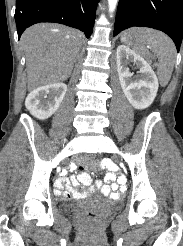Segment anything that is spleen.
I'll list each match as a JSON object with an SVG mask.
<instances>
[{
  "label": "spleen",
  "instance_id": "spleen-1",
  "mask_svg": "<svg viewBox=\"0 0 183 246\" xmlns=\"http://www.w3.org/2000/svg\"><path fill=\"white\" fill-rule=\"evenodd\" d=\"M139 39V46L136 50L139 53L147 54L145 44L153 48L154 54L159 58L157 74L162 86H166L171 78L176 60V48L173 41L164 33L143 28L136 33Z\"/></svg>",
  "mask_w": 183,
  "mask_h": 246
}]
</instances>
